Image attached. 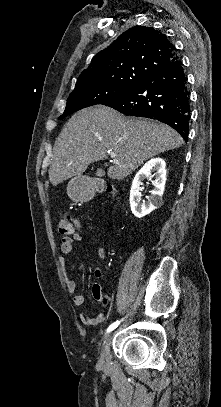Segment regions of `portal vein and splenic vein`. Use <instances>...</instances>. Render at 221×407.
<instances>
[{"label": "portal vein and splenic vein", "mask_w": 221, "mask_h": 407, "mask_svg": "<svg viewBox=\"0 0 221 407\" xmlns=\"http://www.w3.org/2000/svg\"><path fill=\"white\" fill-rule=\"evenodd\" d=\"M110 156H111V158L113 159V162L117 163V160L115 159V154H114V153H111Z\"/></svg>", "instance_id": "portal-vein-and-splenic-vein-1"}]
</instances>
